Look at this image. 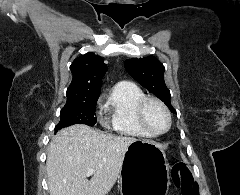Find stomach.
Here are the masks:
<instances>
[{"mask_svg": "<svg viewBox=\"0 0 240 195\" xmlns=\"http://www.w3.org/2000/svg\"><path fill=\"white\" fill-rule=\"evenodd\" d=\"M119 177L120 195H167L169 163L161 143L152 139L130 143Z\"/></svg>", "mask_w": 240, "mask_h": 195, "instance_id": "1", "label": "stomach"}]
</instances>
